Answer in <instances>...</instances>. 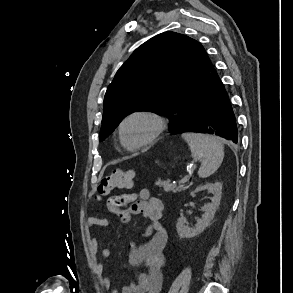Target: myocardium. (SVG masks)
Masks as SVG:
<instances>
[{
    "mask_svg": "<svg viewBox=\"0 0 293 293\" xmlns=\"http://www.w3.org/2000/svg\"><path fill=\"white\" fill-rule=\"evenodd\" d=\"M136 117H143V118L149 119L153 124V130H152V133L150 134V136L148 138H146L145 140H143L139 143H136V144H129V143H127V141L125 140V137H124V126L126 125V123L128 121H130L131 119L136 118ZM165 127H166V123H165L164 119L159 114L152 112V111H147V110H138V111H134V112L128 114L120 122L119 127H118V133H119L121 143L123 144V146L126 149L138 150V149H141V148L155 142L161 136V134L164 132Z\"/></svg>",
    "mask_w": 293,
    "mask_h": 293,
    "instance_id": "obj_1",
    "label": "myocardium"
}]
</instances>
